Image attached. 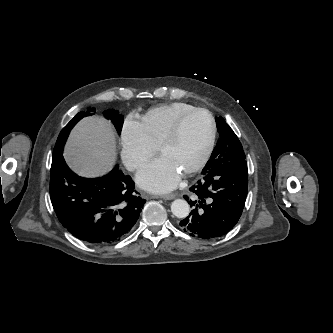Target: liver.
I'll list each match as a JSON object with an SVG mask.
<instances>
[{
    "mask_svg": "<svg viewBox=\"0 0 333 333\" xmlns=\"http://www.w3.org/2000/svg\"><path fill=\"white\" fill-rule=\"evenodd\" d=\"M64 157L69 167L81 176L107 173L116 159L115 135L110 123L99 116L82 119L69 136Z\"/></svg>",
    "mask_w": 333,
    "mask_h": 333,
    "instance_id": "1",
    "label": "liver"
}]
</instances>
